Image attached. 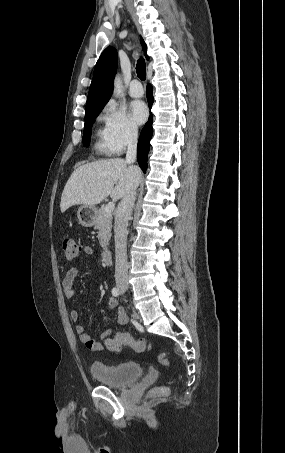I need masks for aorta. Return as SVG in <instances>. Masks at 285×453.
Segmentation results:
<instances>
[{"mask_svg":"<svg viewBox=\"0 0 285 453\" xmlns=\"http://www.w3.org/2000/svg\"><path fill=\"white\" fill-rule=\"evenodd\" d=\"M122 88V80L119 76H117L114 81V94L116 97H118L122 93Z\"/></svg>","mask_w":285,"mask_h":453,"instance_id":"obj_1","label":"aorta"}]
</instances>
